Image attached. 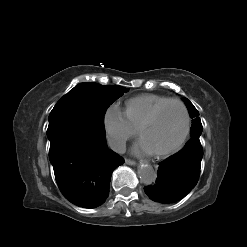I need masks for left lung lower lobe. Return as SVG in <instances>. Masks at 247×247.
I'll return each mask as SVG.
<instances>
[{"mask_svg":"<svg viewBox=\"0 0 247 247\" xmlns=\"http://www.w3.org/2000/svg\"><path fill=\"white\" fill-rule=\"evenodd\" d=\"M202 157L199 139L191 138L181 151L159 164L156 183L145 187V193L160 203L181 200L198 182Z\"/></svg>","mask_w":247,"mask_h":247,"instance_id":"left-lung-lower-lobe-1","label":"left lung lower lobe"}]
</instances>
